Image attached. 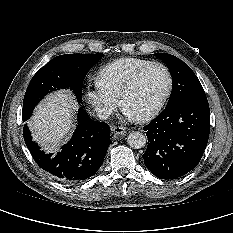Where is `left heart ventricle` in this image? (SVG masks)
I'll return each mask as SVG.
<instances>
[{
  "instance_id": "b2bd125f",
  "label": "left heart ventricle",
  "mask_w": 233,
  "mask_h": 233,
  "mask_svg": "<svg viewBox=\"0 0 233 233\" xmlns=\"http://www.w3.org/2000/svg\"><path fill=\"white\" fill-rule=\"evenodd\" d=\"M168 86L165 70L158 66L147 69L125 100V109L134 117L151 110L163 97Z\"/></svg>"
}]
</instances>
